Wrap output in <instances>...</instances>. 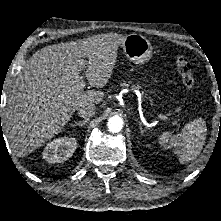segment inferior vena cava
<instances>
[{
	"mask_svg": "<svg viewBox=\"0 0 221 221\" xmlns=\"http://www.w3.org/2000/svg\"><path fill=\"white\" fill-rule=\"evenodd\" d=\"M96 113V107L93 103H87L78 108V115L84 119H89Z\"/></svg>",
	"mask_w": 221,
	"mask_h": 221,
	"instance_id": "1",
	"label": "inferior vena cava"
}]
</instances>
